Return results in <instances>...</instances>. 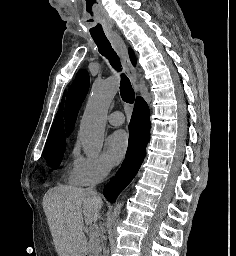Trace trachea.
<instances>
[{
	"mask_svg": "<svg viewBox=\"0 0 236 256\" xmlns=\"http://www.w3.org/2000/svg\"><path fill=\"white\" fill-rule=\"evenodd\" d=\"M94 41L97 44L99 52L109 60L112 67L116 71H120L121 64H120L119 58L115 50L112 48L109 40L107 38H100V39H95ZM120 94H121L122 100L125 101L126 103L132 104L134 102V99H135L134 90L132 88L129 78H127V76H125L124 74L121 75Z\"/></svg>",
	"mask_w": 236,
	"mask_h": 256,
	"instance_id": "3493384b",
	"label": "trachea"
}]
</instances>
